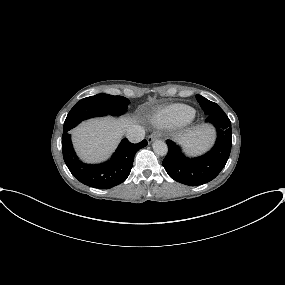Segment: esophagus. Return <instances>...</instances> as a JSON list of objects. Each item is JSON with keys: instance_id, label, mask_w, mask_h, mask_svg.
<instances>
[{"instance_id": "34e87169", "label": "esophagus", "mask_w": 285, "mask_h": 285, "mask_svg": "<svg viewBox=\"0 0 285 285\" xmlns=\"http://www.w3.org/2000/svg\"><path fill=\"white\" fill-rule=\"evenodd\" d=\"M157 138H158V135L153 133V134L149 135L147 141H148L149 144H151Z\"/></svg>"}]
</instances>
